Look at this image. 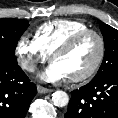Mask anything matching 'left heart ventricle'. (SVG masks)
Instances as JSON below:
<instances>
[{
    "instance_id": "obj_1",
    "label": "left heart ventricle",
    "mask_w": 118,
    "mask_h": 118,
    "mask_svg": "<svg viewBox=\"0 0 118 118\" xmlns=\"http://www.w3.org/2000/svg\"><path fill=\"white\" fill-rule=\"evenodd\" d=\"M98 42L88 36L79 42L71 51L54 58L67 73L68 77L78 76L88 71L98 55Z\"/></svg>"
}]
</instances>
